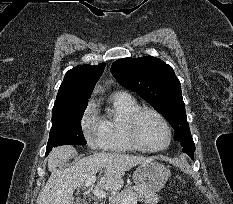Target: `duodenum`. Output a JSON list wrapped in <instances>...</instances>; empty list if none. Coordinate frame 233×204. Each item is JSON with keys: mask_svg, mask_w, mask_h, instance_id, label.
<instances>
[{"mask_svg": "<svg viewBox=\"0 0 233 204\" xmlns=\"http://www.w3.org/2000/svg\"><path fill=\"white\" fill-rule=\"evenodd\" d=\"M92 204H100L99 202H94V203H92Z\"/></svg>", "mask_w": 233, "mask_h": 204, "instance_id": "410a0bca", "label": "duodenum"}]
</instances>
